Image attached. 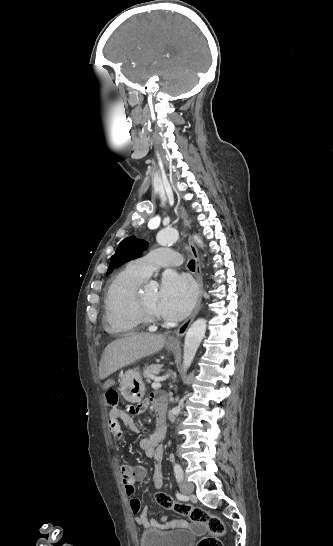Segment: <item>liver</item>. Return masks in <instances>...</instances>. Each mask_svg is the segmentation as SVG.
<instances>
[{"label":"liver","instance_id":"obj_1","mask_svg":"<svg viewBox=\"0 0 333 546\" xmlns=\"http://www.w3.org/2000/svg\"><path fill=\"white\" fill-rule=\"evenodd\" d=\"M165 344L163 335L131 334L110 343L99 364V377L105 379L136 360L159 352Z\"/></svg>","mask_w":333,"mask_h":546}]
</instances>
